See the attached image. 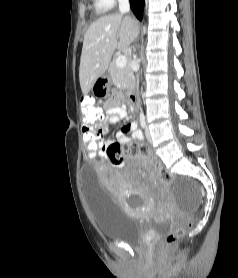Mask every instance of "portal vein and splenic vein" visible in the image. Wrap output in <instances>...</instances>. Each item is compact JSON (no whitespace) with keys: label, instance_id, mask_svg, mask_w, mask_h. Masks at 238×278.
<instances>
[{"label":"portal vein and splenic vein","instance_id":"portal-vein-and-splenic-vein-1","mask_svg":"<svg viewBox=\"0 0 238 278\" xmlns=\"http://www.w3.org/2000/svg\"><path fill=\"white\" fill-rule=\"evenodd\" d=\"M127 64V58L125 55H119L116 59V66L123 68Z\"/></svg>","mask_w":238,"mask_h":278}]
</instances>
